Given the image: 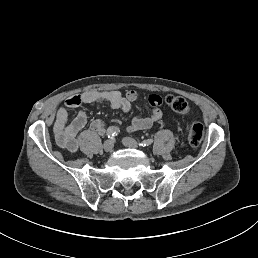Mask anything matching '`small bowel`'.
<instances>
[{
	"instance_id": "c3829d8e",
	"label": "small bowel",
	"mask_w": 258,
	"mask_h": 258,
	"mask_svg": "<svg viewBox=\"0 0 258 258\" xmlns=\"http://www.w3.org/2000/svg\"><path fill=\"white\" fill-rule=\"evenodd\" d=\"M137 99L138 94L134 90H128L125 93L117 90H89L68 97L64 102V107L58 109L53 124L54 137L58 146L70 152H76L79 147L78 135L87 123L85 111H80L71 122H68V109H74L83 104L106 102L113 108H119L128 113ZM161 103L160 96L150 95L148 104L151 108V114L146 117H134L127 128L128 132L148 129L158 122L162 118ZM105 128V124L101 120H93L89 124L90 132L98 135L104 134Z\"/></svg>"
}]
</instances>
